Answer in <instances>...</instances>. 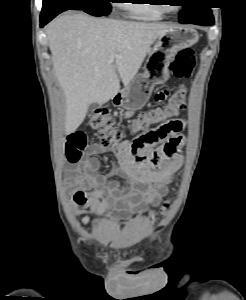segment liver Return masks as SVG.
I'll return each instance as SVG.
<instances>
[{
    "label": "liver",
    "instance_id": "liver-1",
    "mask_svg": "<svg viewBox=\"0 0 246 300\" xmlns=\"http://www.w3.org/2000/svg\"><path fill=\"white\" fill-rule=\"evenodd\" d=\"M172 27L83 13L61 15L48 25L54 72L66 98L67 135L84 121L90 104L102 105L120 91L118 75L130 85L150 46ZM112 55L119 57L111 62Z\"/></svg>",
    "mask_w": 246,
    "mask_h": 300
}]
</instances>
